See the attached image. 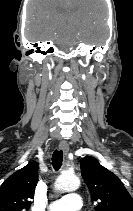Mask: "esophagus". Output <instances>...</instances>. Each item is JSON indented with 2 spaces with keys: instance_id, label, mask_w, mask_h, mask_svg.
Instances as JSON below:
<instances>
[{
  "instance_id": "1",
  "label": "esophagus",
  "mask_w": 133,
  "mask_h": 211,
  "mask_svg": "<svg viewBox=\"0 0 133 211\" xmlns=\"http://www.w3.org/2000/svg\"><path fill=\"white\" fill-rule=\"evenodd\" d=\"M58 147H59V150L63 151L65 155L68 154V152H69V145H68V143L66 141H61L59 143Z\"/></svg>"
}]
</instances>
